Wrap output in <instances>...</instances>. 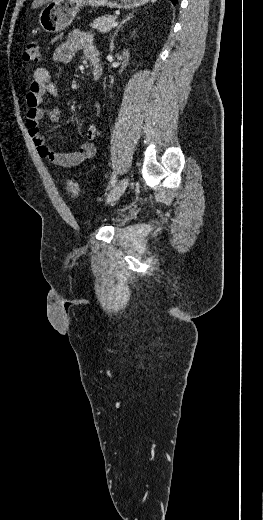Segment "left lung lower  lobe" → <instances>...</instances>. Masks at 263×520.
Segmentation results:
<instances>
[{
  "label": "left lung lower lobe",
  "instance_id": "obj_1",
  "mask_svg": "<svg viewBox=\"0 0 263 520\" xmlns=\"http://www.w3.org/2000/svg\"><path fill=\"white\" fill-rule=\"evenodd\" d=\"M171 1H172V3H173L174 5H176L178 0H171Z\"/></svg>",
  "mask_w": 263,
  "mask_h": 520
}]
</instances>
